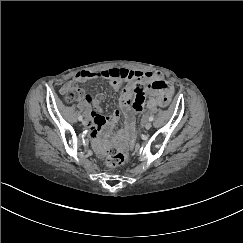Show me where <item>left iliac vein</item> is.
<instances>
[{"mask_svg": "<svg viewBox=\"0 0 243 243\" xmlns=\"http://www.w3.org/2000/svg\"><path fill=\"white\" fill-rule=\"evenodd\" d=\"M151 127H152V123L151 122H146L145 125H144V128L146 130H149Z\"/></svg>", "mask_w": 243, "mask_h": 243, "instance_id": "left-iliac-vein-1", "label": "left iliac vein"}]
</instances>
